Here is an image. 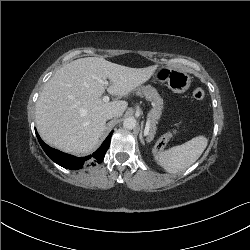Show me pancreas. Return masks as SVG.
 Masks as SVG:
<instances>
[{"label": "pancreas", "mask_w": 250, "mask_h": 250, "mask_svg": "<svg viewBox=\"0 0 250 250\" xmlns=\"http://www.w3.org/2000/svg\"><path fill=\"white\" fill-rule=\"evenodd\" d=\"M135 93L136 95L144 97L146 100L152 102L153 108L149 113L150 129L148 132V141H152L156 134L158 120L160 119L162 110L164 108L163 99L157 90L150 85L137 88ZM171 136L172 135L170 133L165 134L159 139V142L165 138L164 142L166 143Z\"/></svg>", "instance_id": "cf45deb5"}]
</instances>
